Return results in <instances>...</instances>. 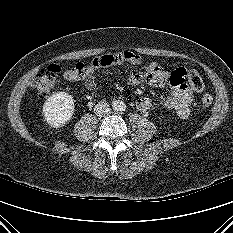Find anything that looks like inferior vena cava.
<instances>
[{
	"label": "inferior vena cava",
	"mask_w": 233,
	"mask_h": 233,
	"mask_svg": "<svg viewBox=\"0 0 233 233\" xmlns=\"http://www.w3.org/2000/svg\"><path fill=\"white\" fill-rule=\"evenodd\" d=\"M94 112L97 116H105L110 112V107L107 102H99L94 107Z\"/></svg>",
	"instance_id": "602c4592"
}]
</instances>
